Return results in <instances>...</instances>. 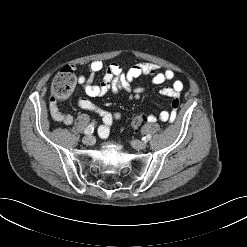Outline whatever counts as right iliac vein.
<instances>
[{
  "instance_id": "right-iliac-vein-1",
  "label": "right iliac vein",
  "mask_w": 247,
  "mask_h": 247,
  "mask_svg": "<svg viewBox=\"0 0 247 247\" xmlns=\"http://www.w3.org/2000/svg\"><path fill=\"white\" fill-rule=\"evenodd\" d=\"M82 141L86 145H93L94 144V138L92 136H85Z\"/></svg>"
}]
</instances>
